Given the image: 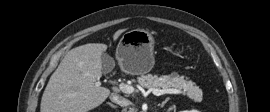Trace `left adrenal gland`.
I'll list each match as a JSON object with an SVG mask.
<instances>
[{
  "mask_svg": "<svg viewBox=\"0 0 270 112\" xmlns=\"http://www.w3.org/2000/svg\"><path fill=\"white\" fill-rule=\"evenodd\" d=\"M169 99H166L161 105L160 107H164V105L168 102Z\"/></svg>",
  "mask_w": 270,
  "mask_h": 112,
  "instance_id": "1",
  "label": "left adrenal gland"
}]
</instances>
